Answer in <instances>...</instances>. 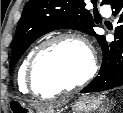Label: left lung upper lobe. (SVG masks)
<instances>
[{
    "instance_id": "left-lung-upper-lobe-1",
    "label": "left lung upper lobe",
    "mask_w": 123,
    "mask_h": 113,
    "mask_svg": "<svg viewBox=\"0 0 123 113\" xmlns=\"http://www.w3.org/2000/svg\"><path fill=\"white\" fill-rule=\"evenodd\" d=\"M97 0H92L96 5ZM111 0H103L109 4ZM84 0H30L24 7L17 24L11 47L10 67L40 36L57 29L69 28L96 36L99 44L103 36L95 34L94 19L85 9Z\"/></svg>"
}]
</instances>
